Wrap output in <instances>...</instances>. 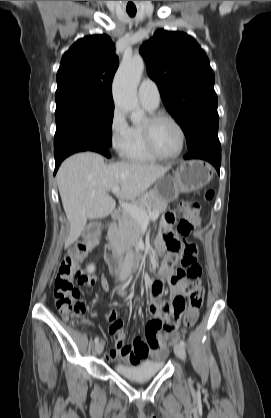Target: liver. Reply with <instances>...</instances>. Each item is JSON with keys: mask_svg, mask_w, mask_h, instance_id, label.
I'll return each mask as SVG.
<instances>
[{"mask_svg": "<svg viewBox=\"0 0 271 418\" xmlns=\"http://www.w3.org/2000/svg\"><path fill=\"white\" fill-rule=\"evenodd\" d=\"M171 168L134 161L105 164L104 158L93 152L75 154L67 158L56 175L64 211L70 223L65 248L77 241L88 219L104 218L116 206L108 195L113 187H120L116 197L133 200Z\"/></svg>", "mask_w": 271, "mask_h": 418, "instance_id": "obj_1", "label": "liver"}]
</instances>
